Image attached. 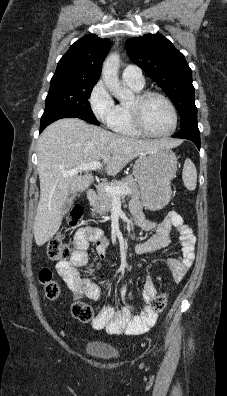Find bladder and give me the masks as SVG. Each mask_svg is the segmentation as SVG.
Listing matches in <instances>:
<instances>
[{
	"instance_id": "bladder-1",
	"label": "bladder",
	"mask_w": 227,
	"mask_h": 396,
	"mask_svg": "<svg viewBox=\"0 0 227 396\" xmlns=\"http://www.w3.org/2000/svg\"><path fill=\"white\" fill-rule=\"evenodd\" d=\"M84 352L91 358L101 361H114L119 357L117 350L111 346L100 343L90 342L84 346Z\"/></svg>"
}]
</instances>
